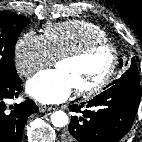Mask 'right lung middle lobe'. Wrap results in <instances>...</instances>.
<instances>
[{"label":"right lung middle lobe","instance_id":"dd1d6c3e","mask_svg":"<svg viewBox=\"0 0 142 142\" xmlns=\"http://www.w3.org/2000/svg\"><path fill=\"white\" fill-rule=\"evenodd\" d=\"M30 21L12 12H0V83L18 78L14 53L16 40Z\"/></svg>","mask_w":142,"mask_h":142}]
</instances>
